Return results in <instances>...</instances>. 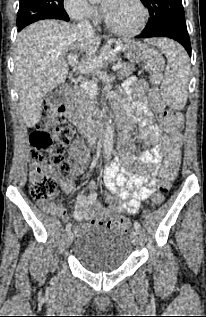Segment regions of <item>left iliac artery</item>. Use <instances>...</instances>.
Masks as SVG:
<instances>
[{
    "instance_id": "44dca946",
    "label": "left iliac artery",
    "mask_w": 206,
    "mask_h": 317,
    "mask_svg": "<svg viewBox=\"0 0 206 317\" xmlns=\"http://www.w3.org/2000/svg\"><path fill=\"white\" fill-rule=\"evenodd\" d=\"M134 228L136 231H138V232L140 231V224L137 221H135V223H134Z\"/></svg>"
}]
</instances>
